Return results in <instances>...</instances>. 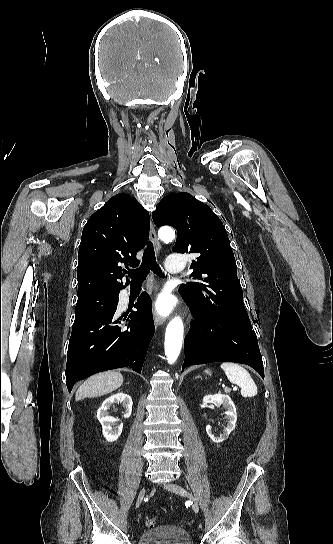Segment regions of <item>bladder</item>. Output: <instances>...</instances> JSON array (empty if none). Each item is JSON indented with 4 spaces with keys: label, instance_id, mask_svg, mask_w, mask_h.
<instances>
[{
    "label": "bladder",
    "instance_id": "bladder-1",
    "mask_svg": "<svg viewBox=\"0 0 333 544\" xmlns=\"http://www.w3.org/2000/svg\"><path fill=\"white\" fill-rule=\"evenodd\" d=\"M138 544H194L191 535L178 526H161L143 532Z\"/></svg>",
    "mask_w": 333,
    "mask_h": 544
}]
</instances>
